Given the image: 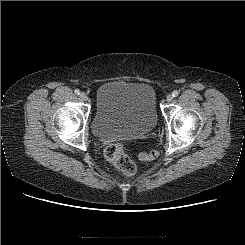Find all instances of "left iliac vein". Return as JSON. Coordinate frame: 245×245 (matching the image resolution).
<instances>
[{"instance_id":"4c4485c4","label":"left iliac vein","mask_w":245,"mask_h":245,"mask_svg":"<svg viewBox=\"0 0 245 245\" xmlns=\"http://www.w3.org/2000/svg\"><path fill=\"white\" fill-rule=\"evenodd\" d=\"M166 100H167V102H171L173 100V96L171 94H168L166 96Z\"/></svg>"}]
</instances>
